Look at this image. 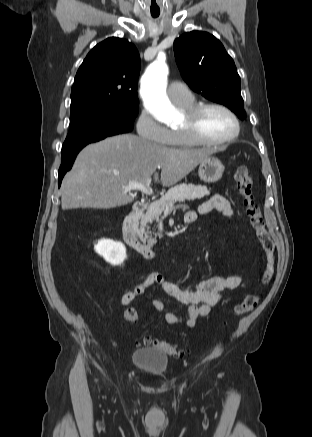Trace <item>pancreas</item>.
<instances>
[{"label":"pancreas","mask_w":312,"mask_h":437,"mask_svg":"<svg viewBox=\"0 0 312 437\" xmlns=\"http://www.w3.org/2000/svg\"><path fill=\"white\" fill-rule=\"evenodd\" d=\"M210 192L206 186L186 184L182 183L170 188L165 195L160 199L153 201L146 213L142 216L139 229V238L145 242L147 241L150 246L156 243V237H162V233H155V237L152 238L149 231V224L154 221L159 222L160 216L167 206H174L175 202L191 201L201 199Z\"/></svg>","instance_id":"cf45deb5"}]
</instances>
